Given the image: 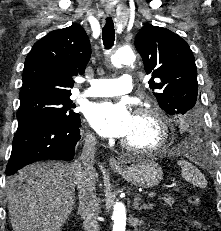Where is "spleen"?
I'll return each mask as SVG.
<instances>
[{"instance_id":"spleen-1","label":"spleen","mask_w":221,"mask_h":231,"mask_svg":"<svg viewBox=\"0 0 221 231\" xmlns=\"http://www.w3.org/2000/svg\"><path fill=\"white\" fill-rule=\"evenodd\" d=\"M178 165L181 167V176L187 182H190L200 188H205L207 182L204 175L198 170V168L185 160L178 161Z\"/></svg>"}]
</instances>
